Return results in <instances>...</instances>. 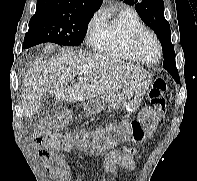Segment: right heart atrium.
I'll return each mask as SVG.
<instances>
[{
	"label": "right heart atrium",
	"instance_id": "right-heart-atrium-1",
	"mask_svg": "<svg viewBox=\"0 0 197 181\" xmlns=\"http://www.w3.org/2000/svg\"><path fill=\"white\" fill-rule=\"evenodd\" d=\"M102 21H103V16L100 11H97L91 17L87 27V35L89 40H92L93 36L97 33L98 29L101 26Z\"/></svg>",
	"mask_w": 197,
	"mask_h": 181
}]
</instances>
